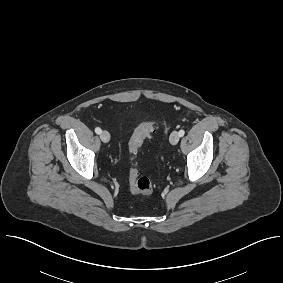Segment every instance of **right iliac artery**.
<instances>
[{"instance_id": "1", "label": "right iliac artery", "mask_w": 283, "mask_h": 283, "mask_svg": "<svg viewBox=\"0 0 283 283\" xmlns=\"http://www.w3.org/2000/svg\"><path fill=\"white\" fill-rule=\"evenodd\" d=\"M95 132H96L97 134H101L102 130H101L99 127H96V128H95Z\"/></svg>"}]
</instances>
